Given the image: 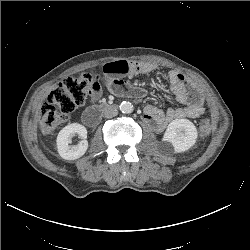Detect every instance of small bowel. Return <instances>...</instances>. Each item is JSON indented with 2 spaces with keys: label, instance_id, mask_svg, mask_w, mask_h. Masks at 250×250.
<instances>
[{
  "label": "small bowel",
  "instance_id": "1",
  "mask_svg": "<svg viewBox=\"0 0 250 250\" xmlns=\"http://www.w3.org/2000/svg\"><path fill=\"white\" fill-rule=\"evenodd\" d=\"M154 69L155 66L149 63L128 61L106 63L102 68V72L94 75L92 100L95 101L101 96L100 80L108 90L116 95L142 97L146 93L145 90L128 85L124 78L147 74ZM169 86L175 99L183 106L163 111L156 106L148 105L145 108V120L156 132H162L173 120L198 118L204 113L203 97L196 86L189 82L183 74L174 70L170 71Z\"/></svg>",
  "mask_w": 250,
  "mask_h": 250
}]
</instances>
